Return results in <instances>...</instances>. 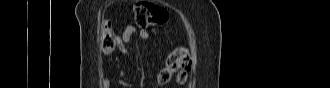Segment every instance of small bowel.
Masks as SVG:
<instances>
[{
  "instance_id": "c3829d8e",
  "label": "small bowel",
  "mask_w": 330,
  "mask_h": 88,
  "mask_svg": "<svg viewBox=\"0 0 330 88\" xmlns=\"http://www.w3.org/2000/svg\"><path fill=\"white\" fill-rule=\"evenodd\" d=\"M136 32H137V29L133 25H128L124 29L122 35L120 36V38L117 41V48L121 53H123L125 55H127L129 53V51L126 47V44L131 42V40H132V38H133V36L135 35ZM149 37H150L149 33L144 29H142L138 32V38L140 40L145 41V40H148ZM118 84H119V86H124V87L131 86V85L127 84L126 82L122 81V80H120L118 82Z\"/></svg>"
}]
</instances>
